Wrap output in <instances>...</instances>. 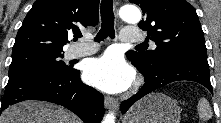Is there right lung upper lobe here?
Here are the masks:
<instances>
[{
	"label": "right lung upper lobe",
	"mask_w": 221,
	"mask_h": 123,
	"mask_svg": "<svg viewBox=\"0 0 221 123\" xmlns=\"http://www.w3.org/2000/svg\"><path fill=\"white\" fill-rule=\"evenodd\" d=\"M99 0H36L19 29L12 53L63 51L80 27L98 23Z\"/></svg>",
	"instance_id": "cb5924a9"
}]
</instances>
